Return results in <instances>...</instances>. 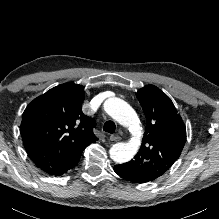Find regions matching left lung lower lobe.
Wrapping results in <instances>:
<instances>
[{"label": "left lung lower lobe", "instance_id": "0a47b994", "mask_svg": "<svg viewBox=\"0 0 219 219\" xmlns=\"http://www.w3.org/2000/svg\"><path fill=\"white\" fill-rule=\"evenodd\" d=\"M114 171L123 179H125L127 181L134 182V183H145V182L152 181V180L136 173L135 171L127 168L123 164L115 165Z\"/></svg>", "mask_w": 219, "mask_h": 219}]
</instances>
